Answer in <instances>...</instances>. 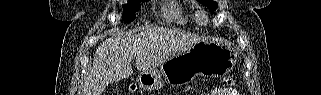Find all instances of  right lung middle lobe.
<instances>
[{"instance_id":"obj_1","label":"right lung middle lobe","mask_w":321,"mask_h":95,"mask_svg":"<svg viewBox=\"0 0 321 95\" xmlns=\"http://www.w3.org/2000/svg\"><path fill=\"white\" fill-rule=\"evenodd\" d=\"M147 1V0H142ZM140 8V0H130L129 4L124 5V14L122 17V20L125 23L131 22L133 19H135L136 15L135 12H137Z\"/></svg>"}]
</instances>
